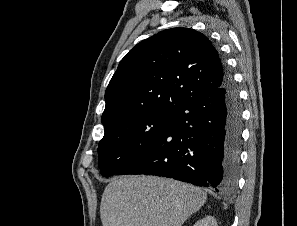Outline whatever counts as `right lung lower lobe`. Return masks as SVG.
Wrapping results in <instances>:
<instances>
[{
    "mask_svg": "<svg viewBox=\"0 0 297 226\" xmlns=\"http://www.w3.org/2000/svg\"><path fill=\"white\" fill-rule=\"evenodd\" d=\"M221 87L199 93L176 110L171 125L116 174H151L226 191L239 174L242 106L224 66Z\"/></svg>",
    "mask_w": 297,
    "mask_h": 226,
    "instance_id": "right-lung-lower-lobe-1",
    "label": "right lung lower lobe"
}]
</instances>
